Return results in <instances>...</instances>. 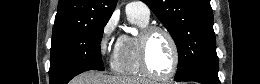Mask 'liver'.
Listing matches in <instances>:
<instances>
[{
	"label": "liver",
	"instance_id": "liver-1",
	"mask_svg": "<svg viewBox=\"0 0 260 84\" xmlns=\"http://www.w3.org/2000/svg\"><path fill=\"white\" fill-rule=\"evenodd\" d=\"M74 84H151L149 80L139 77L108 76L95 71L80 74L73 81Z\"/></svg>",
	"mask_w": 260,
	"mask_h": 84
}]
</instances>
